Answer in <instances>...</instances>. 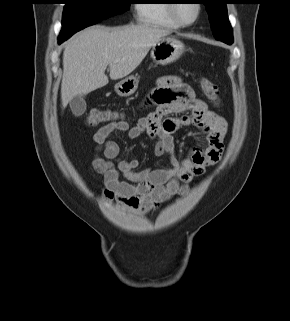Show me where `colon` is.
I'll return each mask as SVG.
<instances>
[{"mask_svg": "<svg viewBox=\"0 0 290 321\" xmlns=\"http://www.w3.org/2000/svg\"><path fill=\"white\" fill-rule=\"evenodd\" d=\"M200 87L205 95L215 104H220V93L216 84L208 78L202 77L200 79ZM114 114L107 110L92 109L87 114L86 122L88 126L94 127L102 123L113 121Z\"/></svg>", "mask_w": 290, "mask_h": 321, "instance_id": "obj_1", "label": "colon"}]
</instances>
